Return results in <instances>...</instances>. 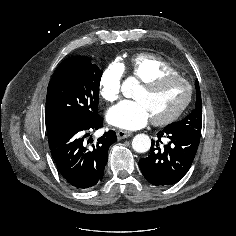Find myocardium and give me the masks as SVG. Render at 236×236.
<instances>
[{"label": "myocardium", "mask_w": 236, "mask_h": 236, "mask_svg": "<svg viewBox=\"0 0 236 236\" xmlns=\"http://www.w3.org/2000/svg\"><path fill=\"white\" fill-rule=\"evenodd\" d=\"M169 80H179V81L183 82L187 88V95H186L184 102L175 111H173L169 115L161 117V118H152L151 119V122L157 126L167 125V124H170L173 121H175L186 110V108L188 107V105L190 104L191 99H192L193 90H192L191 84L189 83V81L187 79H185L183 76H181L179 74L159 75L157 77H154L148 81L141 83V88L151 90V89H154Z\"/></svg>", "instance_id": "1"}]
</instances>
